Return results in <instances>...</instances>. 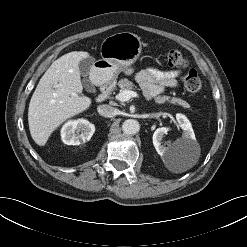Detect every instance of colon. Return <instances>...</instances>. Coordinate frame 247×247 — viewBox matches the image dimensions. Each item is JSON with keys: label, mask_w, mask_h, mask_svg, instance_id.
Returning <instances> with one entry per match:
<instances>
[{"label": "colon", "mask_w": 247, "mask_h": 247, "mask_svg": "<svg viewBox=\"0 0 247 247\" xmlns=\"http://www.w3.org/2000/svg\"><path fill=\"white\" fill-rule=\"evenodd\" d=\"M167 63L170 67L183 70L184 87L190 93H197L201 89V79L196 69L192 68L184 55L178 50H170L167 53Z\"/></svg>", "instance_id": "obj_1"}]
</instances>
